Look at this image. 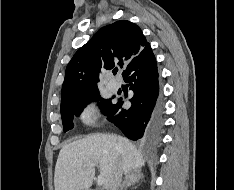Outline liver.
I'll return each mask as SVG.
<instances>
[{
    "label": "liver",
    "instance_id": "obj_1",
    "mask_svg": "<svg viewBox=\"0 0 234 190\" xmlns=\"http://www.w3.org/2000/svg\"><path fill=\"white\" fill-rule=\"evenodd\" d=\"M91 163L99 164L106 188L119 163L126 173L140 171L145 165L141 152L128 139L93 134L61 148L55 166V190H89L95 175V169L87 167Z\"/></svg>",
    "mask_w": 234,
    "mask_h": 190
}]
</instances>
